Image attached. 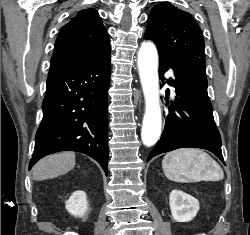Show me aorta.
Here are the masks:
<instances>
[{"label": "aorta", "instance_id": "762f6f07", "mask_svg": "<svg viewBox=\"0 0 250 235\" xmlns=\"http://www.w3.org/2000/svg\"><path fill=\"white\" fill-rule=\"evenodd\" d=\"M158 54L153 43H142L138 53V68L146 101L141 138L146 146L154 145L161 133L159 105Z\"/></svg>", "mask_w": 250, "mask_h": 235}]
</instances>
